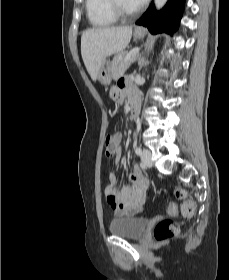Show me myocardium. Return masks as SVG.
I'll use <instances>...</instances> for the list:
<instances>
[{"mask_svg": "<svg viewBox=\"0 0 229 280\" xmlns=\"http://www.w3.org/2000/svg\"><path fill=\"white\" fill-rule=\"evenodd\" d=\"M108 8L110 12L117 18V19H129L136 15L139 12V8H136L132 11H128L123 6L121 0H108Z\"/></svg>", "mask_w": 229, "mask_h": 280, "instance_id": "1", "label": "myocardium"}]
</instances>
